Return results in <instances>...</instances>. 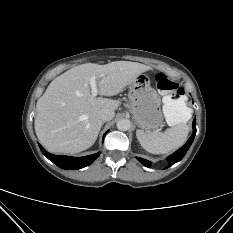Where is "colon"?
I'll list each match as a JSON object with an SVG mask.
<instances>
[{
  "mask_svg": "<svg viewBox=\"0 0 233 233\" xmlns=\"http://www.w3.org/2000/svg\"><path fill=\"white\" fill-rule=\"evenodd\" d=\"M155 81L157 88L163 94V111L167 122L172 125L188 123L192 110L188 105L184 89L163 73H159Z\"/></svg>",
  "mask_w": 233,
  "mask_h": 233,
  "instance_id": "colon-1",
  "label": "colon"
}]
</instances>
